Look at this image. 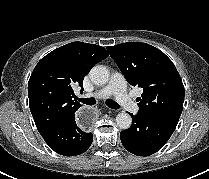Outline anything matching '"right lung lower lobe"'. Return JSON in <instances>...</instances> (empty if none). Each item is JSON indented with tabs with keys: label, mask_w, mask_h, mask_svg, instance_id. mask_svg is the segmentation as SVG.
<instances>
[{
	"label": "right lung lower lobe",
	"mask_w": 209,
	"mask_h": 179,
	"mask_svg": "<svg viewBox=\"0 0 209 179\" xmlns=\"http://www.w3.org/2000/svg\"><path fill=\"white\" fill-rule=\"evenodd\" d=\"M42 137L52 150L64 156L82 154L93 141L92 133H86L77 126L75 113Z\"/></svg>",
	"instance_id": "98d812e1"
}]
</instances>
